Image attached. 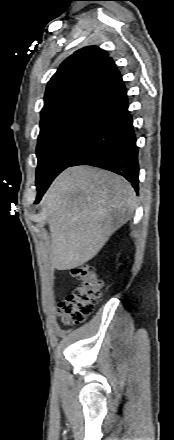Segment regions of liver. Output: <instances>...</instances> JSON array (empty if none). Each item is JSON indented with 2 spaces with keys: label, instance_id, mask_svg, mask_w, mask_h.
<instances>
[{
  "label": "liver",
  "instance_id": "liver-1",
  "mask_svg": "<svg viewBox=\"0 0 174 440\" xmlns=\"http://www.w3.org/2000/svg\"><path fill=\"white\" fill-rule=\"evenodd\" d=\"M51 235V262L58 270L94 258L132 216L136 194L123 177L103 169L64 170L42 200Z\"/></svg>",
  "mask_w": 174,
  "mask_h": 440
}]
</instances>
